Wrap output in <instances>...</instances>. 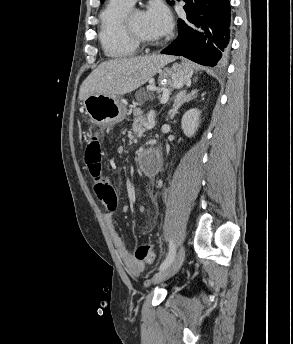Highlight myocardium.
<instances>
[{"label": "myocardium", "instance_id": "myocardium-1", "mask_svg": "<svg viewBox=\"0 0 293 344\" xmlns=\"http://www.w3.org/2000/svg\"><path fill=\"white\" fill-rule=\"evenodd\" d=\"M135 12H139L138 10H130L124 20H123V30L124 33L126 35V37L128 39H130L133 43H135L137 46H141V47H150V46H155L158 44V42L156 41H150L140 35H138L137 33H135L131 26H130V18L132 16L133 13Z\"/></svg>", "mask_w": 293, "mask_h": 344}]
</instances>
